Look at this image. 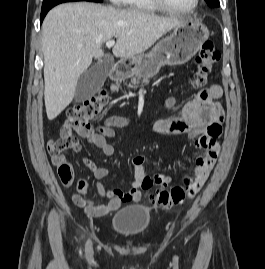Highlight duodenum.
<instances>
[{"instance_id": "duodenum-1", "label": "duodenum", "mask_w": 265, "mask_h": 269, "mask_svg": "<svg viewBox=\"0 0 265 269\" xmlns=\"http://www.w3.org/2000/svg\"><path fill=\"white\" fill-rule=\"evenodd\" d=\"M127 68L122 63H117L111 70V77L117 81L127 75Z\"/></svg>"}]
</instances>
